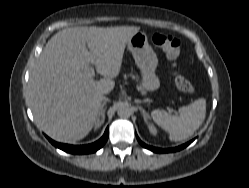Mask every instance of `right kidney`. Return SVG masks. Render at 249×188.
Wrapping results in <instances>:
<instances>
[{
  "instance_id": "ca27d5eb",
  "label": "right kidney",
  "mask_w": 249,
  "mask_h": 188,
  "mask_svg": "<svg viewBox=\"0 0 249 188\" xmlns=\"http://www.w3.org/2000/svg\"><path fill=\"white\" fill-rule=\"evenodd\" d=\"M102 124H103V122H101V120L97 119V121L95 122V129H99Z\"/></svg>"
}]
</instances>
